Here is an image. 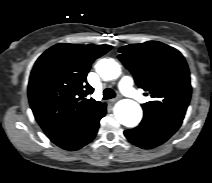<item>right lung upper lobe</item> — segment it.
<instances>
[{"mask_svg": "<svg viewBox=\"0 0 212 183\" xmlns=\"http://www.w3.org/2000/svg\"><path fill=\"white\" fill-rule=\"evenodd\" d=\"M111 48L59 43L38 58L28 97L35 119L49 138L75 130L106 109L105 103L87 98L94 89L86 78L92 62Z\"/></svg>", "mask_w": 212, "mask_h": 183, "instance_id": "right-lung-upper-lobe-1", "label": "right lung upper lobe"}]
</instances>
